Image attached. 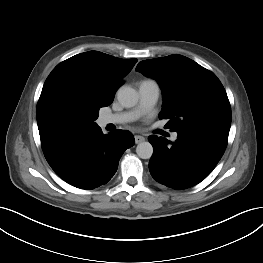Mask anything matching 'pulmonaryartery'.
Here are the masks:
<instances>
[{
    "label": "pulmonary artery",
    "instance_id": "1",
    "mask_svg": "<svg viewBox=\"0 0 263 263\" xmlns=\"http://www.w3.org/2000/svg\"><path fill=\"white\" fill-rule=\"evenodd\" d=\"M138 95L139 103L137 107L127 112L102 115L100 117L101 124H124L136 119L142 113L155 105L160 95V87L155 80H142L138 84ZM176 136L177 134H173L174 139Z\"/></svg>",
    "mask_w": 263,
    "mask_h": 263
}]
</instances>
